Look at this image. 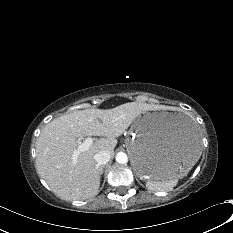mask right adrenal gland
<instances>
[{"label": "right adrenal gland", "instance_id": "right-adrenal-gland-1", "mask_svg": "<svg viewBox=\"0 0 233 233\" xmlns=\"http://www.w3.org/2000/svg\"><path fill=\"white\" fill-rule=\"evenodd\" d=\"M105 166H101V168H102V171H103V168H104Z\"/></svg>", "mask_w": 233, "mask_h": 233}]
</instances>
